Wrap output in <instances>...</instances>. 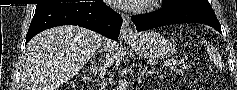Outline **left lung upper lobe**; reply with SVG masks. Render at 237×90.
Wrapping results in <instances>:
<instances>
[{
    "label": "left lung upper lobe",
    "mask_w": 237,
    "mask_h": 90,
    "mask_svg": "<svg viewBox=\"0 0 237 90\" xmlns=\"http://www.w3.org/2000/svg\"><path fill=\"white\" fill-rule=\"evenodd\" d=\"M163 3L169 9L184 8L214 13L207 0H163Z\"/></svg>",
    "instance_id": "obj_1"
}]
</instances>
